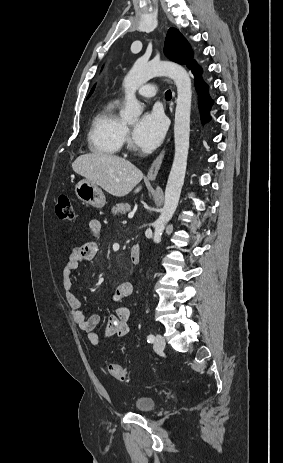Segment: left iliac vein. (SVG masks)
I'll return each instance as SVG.
<instances>
[{"label": "left iliac vein", "instance_id": "4c4485c4", "mask_svg": "<svg viewBox=\"0 0 283 463\" xmlns=\"http://www.w3.org/2000/svg\"><path fill=\"white\" fill-rule=\"evenodd\" d=\"M166 342L162 335L157 334L154 342V349L158 352L163 351L165 348Z\"/></svg>", "mask_w": 283, "mask_h": 463}]
</instances>
